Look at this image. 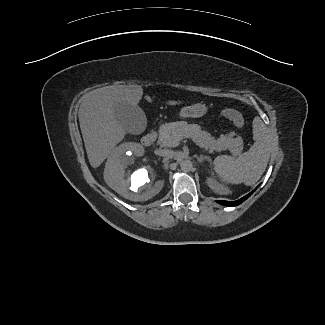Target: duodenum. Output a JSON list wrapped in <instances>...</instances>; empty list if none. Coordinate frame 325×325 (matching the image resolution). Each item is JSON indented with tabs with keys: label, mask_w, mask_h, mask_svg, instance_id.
Listing matches in <instances>:
<instances>
[{
	"label": "duodenum",
	"mask_w": 325,
	"mask_h": 325,
	"mask_svg": "<svg viewBox=\"0 0 325 325\" xmlns=\"http://www.w3.org/2000/svg\"><path fill=\"white\" fill-rule=\"evenodd\" d=\"M156 137H157L156 131L151 130V131L147 132L145 135H143L142 144L145 146H150L151 144H153Z\"/></svg>",
	"instance_id": "duodenum-1"
}]
</instances>
